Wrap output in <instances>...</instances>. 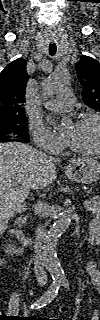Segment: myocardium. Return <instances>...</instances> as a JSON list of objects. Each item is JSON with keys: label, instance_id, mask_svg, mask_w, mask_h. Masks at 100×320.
Returning <instances> with one entry per match:
<instances>
[{"label": "myocardium", "instance_id": "f54148a6", "mask_svg": "<svg viewBox=\"0 0 100 320\" xmlns=\"http://www.w3.org/2000/svg\"><path fill=\"white\" fill-rule=\"evenodd\" d=\"M87 120H95L99 126V139H98V144H97L96 148L82 149V148H79L76 145H74L68 139L65 140V143H66L67 147L74 152H77V153H80L83 155H96L100 152V117L94 113H85L76 119L75 124H79V123H82Z\"/></svg>", "mask_w": 100, "mask_h": 320}]
</instances>
